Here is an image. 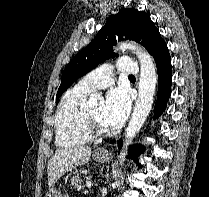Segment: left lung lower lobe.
<instances>
[{
    "label": "left lung lower lobe",
    "instance_id": "obj_1",
    "mask_svg": "<svg viewBox=\"0 0 209 197\" xmlns=\"http://www.w3.org/2000/svg\"><path fill=\"white\" fill-rule=\"evenodd\" d=\"M156 61L158 72V97L155 104L154 118H157L165 110L167 100L171 94V58L165 42L161 43L152 54ZM122 146V140L119 142V148ZM144 147L141 145H135L130 151V157L135 161L138 153L142 152ZM141 167V165H139Z\"/></svg>",
    "mask_w": 209,
    "mask_h": 197
}]
</instances>
